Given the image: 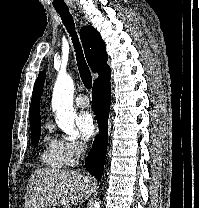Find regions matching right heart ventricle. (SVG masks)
Returning a JSON list of instances; mask_svg holds the SVG:
<instances>
[{
	"label": "right heart ventricle",
	"instance_id": "obj_1",
	"mask_svg": "<svg viewBox=\"0 0 199 208\" xmlns=\"http://www.w3.org/2000/svg\"><path fill=\"white\" fill-rule=\"evenodd\" d=\"M41 161L45 166L52 169H59L65 166L58 140L53 139L48 134L44 137V148L41 153Z\"/></svg>",
	"mask_w": 199,
	"mask_h": 208
}]
</instances>
